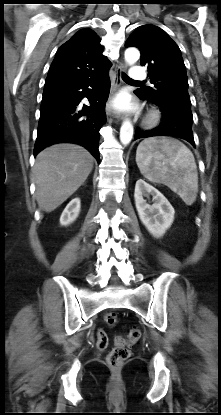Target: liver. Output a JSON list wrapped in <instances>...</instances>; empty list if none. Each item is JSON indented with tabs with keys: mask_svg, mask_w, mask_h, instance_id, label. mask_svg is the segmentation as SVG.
<instances>
[{
	"mask_svg": "<svg viewBox=\"0 0 221 415\" xmlns=\"http://www.w3.org/2000/svg\"><path fill=\"white\" fill-rule=\"evenodd\" d=\"M93 157L83 147L70 143L41 151L33 168L38 206L52 212L84 184L93 168Z\"/></svg>",
	"mask_w": 221,
	"mask_h": 415,
	"instance_id": "6515ba94",
	"label": "liver"
}]
</instances>
